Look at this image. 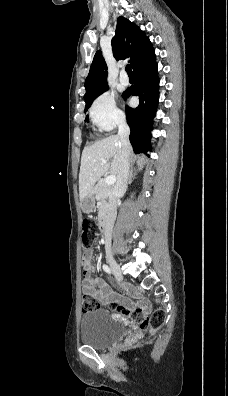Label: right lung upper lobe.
Wrapping results in <instances>:
<instances>
[{"label": "right lung upper lobe", "instance_id": "1", "mask_svg": "<svg viewBox=\"0 0 228 396\" xmlns=\"http://www.w3.org/2000/svg\"><path fill=\"white\" fill-rule=\"evenodd\" d=\"M152 47L149 38L138 26L124 17L118 18L115 35L112 38V50L116 60L130 57L129 63L134 70ZM106 88H108L107 65L101 51H97L85 80V103Z\"/></svg>", "mask_w": 228, "mask_h": 396}]
</instances>
